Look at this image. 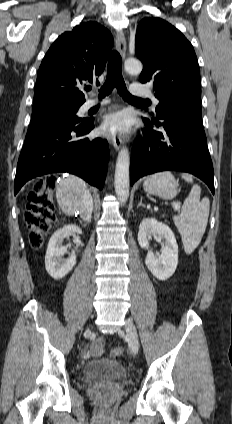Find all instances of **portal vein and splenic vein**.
Masks as SVG:
<instances>
[{"label": "portal vein and splenic vein", "mask_w": 232, "mask_h": 424, "mask_svg": "<svg viewBox=\"0 0 232 424\" xmlns=\"http://www.w3.org/2000/svg\"><path fill=\"white\" fill-rule=\"evenodd\" d=\"M173 207H174V209H175V210H177V211H179V210H180V205H179V204L173 203Z\"/></svg>", "instance_id": "obj_1"}]
</instances>
